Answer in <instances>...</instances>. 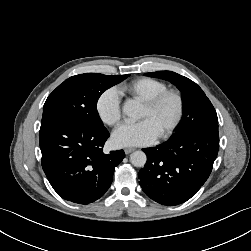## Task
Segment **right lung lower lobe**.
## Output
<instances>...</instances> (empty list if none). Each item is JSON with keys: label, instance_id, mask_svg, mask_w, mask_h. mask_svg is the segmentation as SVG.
<instances>
[{"label": "right lung lower lobe", "instance_id": "98d812e1", "mask_svg": "<svg viewBox=\"0 0 251 251\" xmlns=\"http://www.w3.org/2000/svg\"><path fill=\"white\" fill-rule=\"evenodd\" d=\"M109 132L70 119L41 123L39 142L42 168L53 189L63 199L89 204L110 187L123 150L103 153Z\"/></svg>", "mask_w": 251, "mask_h": 251}]
</instances>
